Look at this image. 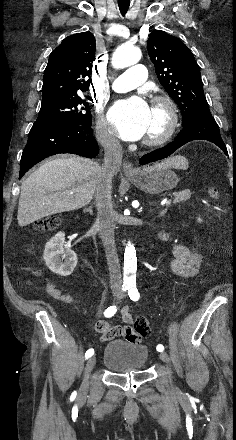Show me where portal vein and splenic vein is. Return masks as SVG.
<instances>
[{"instance_id": "portal-vein-and-splenic-vein-1", "label": "portal vein and splenic vein", "mask_w": 236, "mask_h": 440, "mask_svg": "<svg viewBox=\"0 0 236 440\" xmlns=\"http://www.w3.org/2000/svg\"><path fill=\"white\" fill-rule=\"evenodd\" d=\"M171 203V200L166 201V205H169Z\"/></svg>"}]
</instances>
